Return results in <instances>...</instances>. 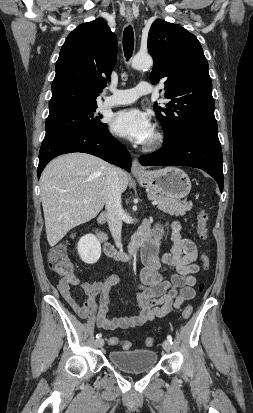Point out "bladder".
Returning a JSON list of instances; mask_svg holds the SVG:
<instances>
[{
  "instance_id": "bladder-1",
  "label": "bladder",
  "mask_w": 253,
  "mask_h": 413,
  "mask_svg": "<svg viewBox=\"0 0 253 413\" xmlns=\"http://www.w3.org/2000/svg\"><path fill=\"white\" fill-rule=\"evenodd\" d=\"M109 361L116 368L127 373H144L157 363V353L152 349L112 350Z\"/></svg>"
}]
</instances>
